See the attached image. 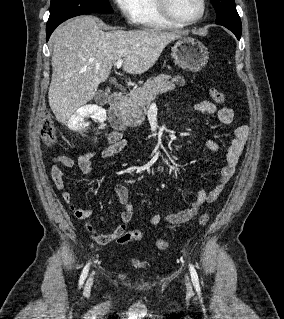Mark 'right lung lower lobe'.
I'll return each mask as SVG.
<instances>
[{
  "mask_svg": "<svg viewBox=\"0 0 284 319\" xmlns=\"http://www.w3.org/2000/svg\"><path fill=\"white\" fill-rule=\"evenodd\" d=\"M58 26V25H57ZM57 26H55V27H52V28H50V29H46V40L48 41V39H49V37H50V35L52 34V32L55 30V28L57 27Z\"/></svg>",
  "mask_w": 284,
  "mask_h": 319,
  "instance_id": "1",
  "label": "right lung lower lobe"
}]
</instances>
